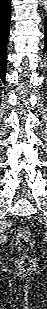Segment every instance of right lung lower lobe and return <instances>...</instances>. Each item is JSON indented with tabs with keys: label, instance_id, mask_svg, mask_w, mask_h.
<instances>
[{
	"label": "right lung lower lobe",
	"instance_id": "obj_1",
	"mask_svg": "<svg viewBox=\"0 0 47 309\" xmlns=\"http://www.w3.org/2000/svg\"><path fill=\"white\" fill-rule=\"evenodd\" d=\"M11 19V0H0V79L5 84L7 39Z\"/></svg>",
	"mask_w": 47,
	"mask_h": 309
}]
</instances>
